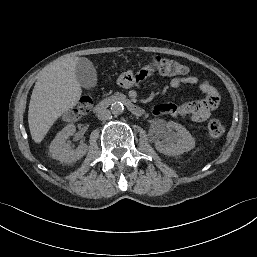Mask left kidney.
<instances>
[{"label":"left kidney","instance_id":"obj_1","mask_svg":"<svg viewBox=\"0 0 257 257\" xmlns=\"http://www.w3.org/2000/svg\"><path fill=\"white\" fill-rule=\"evenodd\" d=\"M194 147L195 141L189 131L181 124L173 121L166 123L164 130L156 141V149L168 156L181 155Z\"/></svg>","mask_w":257,"mask_h":257}]
</instances>
